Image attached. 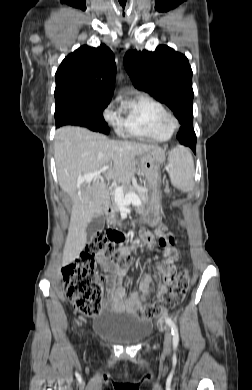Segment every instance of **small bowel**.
<instances>
[{"mask_svg": "<svg viewBox=\"0 0 252 390\" xmlns=\"http://www.w3.org/2000/svg\"><path fill=\"white\" fill-rule=\"evenodd\" d=\"M142 241L151 243L157 242L163 248L166 255V260L157 266L158 271L163 275L162 280L157 284L155 298L160 299L168 290V286L173 282L174 277L169 276L170 270L176 272L174 262L178 259L179 253L175 248V239L173 235L165 228L156 231L154 235L151 231L143 230L138 239L133 240L122 249L125 252L139 246ZM100 267L107 272L105 277L107 287V297L104 301V306L108 310L116 312H134L135 308L143 301L151 299L150 278L143 276L139 281V293H126V289L122 285V280L127 273V270L115 266L111 261L99 260ZM142 296V298L140 297ZM150 324V319H149Z\"/></svg>", "mask_w": 252, "mask_h": 390, "instance_id": "c3829d8e", "label": "small bowel"}]
</instances>
